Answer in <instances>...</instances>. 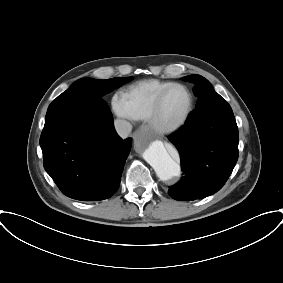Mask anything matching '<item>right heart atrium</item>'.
I'll use <instances>...</instances> for the list:
<instances>
[{
	"label": "right heart atrium",
	"instance_id": "right-heart-atrium-1",
	"mask_svg": "<svg viewBox=\"0 0 283 283\" xmlns=\"http://www.w3.org/2000/svg\"><path fill=\"white\" fill-rule=\"evenodd\" d=\"M112 108H113L114 113L118 117L122 119H126V120L132 119L123 99L120 96L113 97Z\"/></svg>",
	"mask_w": 283,
	"mask_h": 283
}]
</instances>
